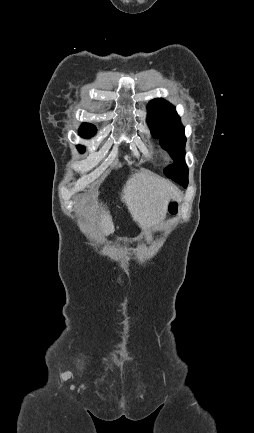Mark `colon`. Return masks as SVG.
I'll return each mask as SVG.
<instances>
[{"label":"colon","instance_id":"1","mask_svg":"<svg viewBox=\"0 0 254 433\" xmlns=\"http://www.w3.org/2000/svg\"><path fill=\"white\" fill-rule=\"evenodd\" d=\"M177 210V203L175 201H171L169 203V211L170 213L174 214Z\"/></svg>","mask_w":254,"mask_h":433}]
</instances>
